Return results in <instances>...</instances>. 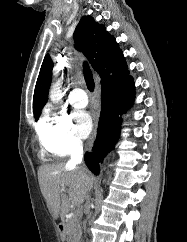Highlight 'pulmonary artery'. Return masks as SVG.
I'll use <instances>...</instances> for the list:
<instances>
[{"label":"pulmonary artery","instance_id":"1","mask_svg":"<svg viewBox=\"0 0 187 242\" xmlns=\"http://www.w3.org/2000/svg\"><path fill=\"white\" fill-rule=\"evenodd\" d=\"M69 102L77 108L85 107L88 103L85 91L81 88L73 89L69 95Z\"/></svg>","mask_w":187,"mask_h":242}]
</instances>
